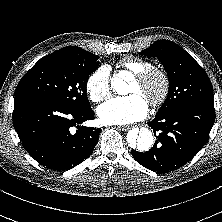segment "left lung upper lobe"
I'll return each mask as SVG.
<instances>
[{"instance_id":"left-lung-upper-lobe-1","label":"left lung upper lobe","mask_w":222,"mask_h":222,"mask_svg":"<svg viewBox=\"0 0 222 222\" xmlns=\"http://www.w3.org/2000/svg\"><path fill=\"white\" fill-rule=\"evenodd\" d=\"M157 57L169 79L168 96L157 112L163 114L194 102L214 103L212 83L204 69L179 45L161 40L139 53Z\"/></svg>"}]
</instances>
